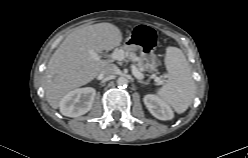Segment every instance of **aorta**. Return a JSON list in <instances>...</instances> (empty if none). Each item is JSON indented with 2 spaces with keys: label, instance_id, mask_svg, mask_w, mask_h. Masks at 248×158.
<instances>
[{
  "label": "aorta",
  "instance_id": "obj_1",
  "mask_svg": "<svg viewBox=\"0 0 248 158\" xmlns=\"http://www.w3.org/2000/svg\"><path fill=\"white\" fill-rule=\"evenodd\" d=\"M127 82H128V80L125 77H119L117 80V84L119 86H124L127 84Z\"/></svg>",
  "mask_w": 248,
  "mask_h": 158
}]
</instances>
